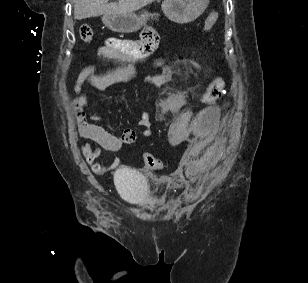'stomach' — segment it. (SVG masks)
<instances>
[{"label": "stomach", "mask_w": 308, "mask_h": 283, "mask_svg": "<svg viewBox=\"0 0 308 283\" xmlns=\"http://www.w3.org/2000/svg\"><path fill=\"white\" fill-rule=\"evenodd\" d=\"M209 0H164L162 11L165 16L176 23L185 24L194 21L207 8ZM157 16L144 12L141 15L129 13L125 15H104L103 23L112 31L132 33L138 31L149 17Z\"/></svg>", "instance_id": "0dacf381"}]
</instances>
